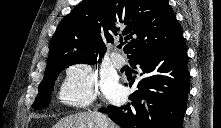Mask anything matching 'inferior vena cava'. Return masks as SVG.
Wrapping results in <instances>:
<instances>
[{"label": "inferior vena cava", "mask_w": 221, "mask_h": 128, "mask_svg": "<svg viewBox=\"0 0 221 128\" xmlns=\"http://www.w3.org/2000/svg\"><path fill=\"white\" fill-rule=\"evenodd\" d=\"M93 114L95 115L98 128H109V120L105 115L98 111H94Z\"/></svg>", "instance_id": "inferior-vena-cava-1"}]
</instances>
